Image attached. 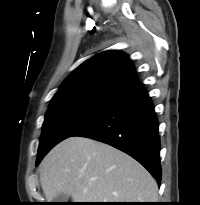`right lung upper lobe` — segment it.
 Returning a JSON list of instances; mask_svg holds the SVG:
<instances>
[{
  "instance_id": "right-lung-upper-lobe-1",
  "label": "right lung upper lobe",
  "mask_w": 200,
  "mask_h": 205,
  "mask_svg": "<svg viewBox=\"0 0 200 205\" xmlns=\"http://www.w3.org/2000/svg\"><path fill=\"white\" fill-rule=\"evenodd\" d=\"M138 84L128 56L116 50L106 51L81 64L63 82L51 104L88 97L116 100Z\"/></svg>"
}]
</instances>
